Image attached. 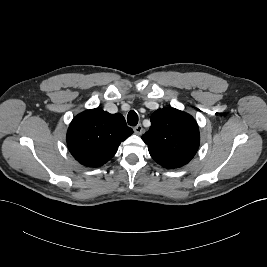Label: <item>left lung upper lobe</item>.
Returning <instances> with one entry per match:
<instances>
[{"label": "left lung upper lobe", "instance_id": "obj_1", "mask_svg": "<svg viewBox=\"0 0 267 267\" xmlns=\"http://www.w3.org/2000/svg\"><path fill=\"white\" fill-rule=\"evenodd\" d=\"M142 139L158 164L174 169L194 157L200 137L197 122L191 115L175 108H163L152 114L151 127Z\"/></svg>", "mask_w": 267, "mask_h": 267}]
</instances>
